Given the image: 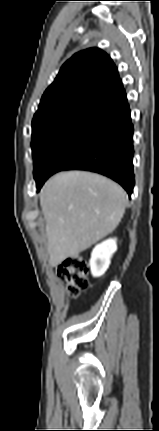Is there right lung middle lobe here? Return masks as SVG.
I'll use <instances>...</instances> for the list:
<instances>
[{
  "instance_id": "obj_1",
  "label": "right lung middle lobe",
  "mask_w": 159,
  "mask_h": 431,
  "mask_svg": "<svg viewBox=\"0 0 159 431\" xmlns=\"http://www.w3.org/2000/svg\"><path fill=\"white\" fill-rule=\"evenodd\" d=\"M85 120L82 117L56 114L32 121L34 178L39 176L49 154L60 140Z\"/></svg>"
}]
</instances>
